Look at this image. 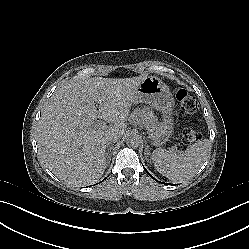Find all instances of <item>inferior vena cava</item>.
Here are the masks:
<instances>
[{"label": "inferior vena cava", "mask_w": 249, "mask_h": 249, "mask_svg": "<svg viewBox=\"0 0 249 249\" xmlns=\"http://www.w3.org/2000/svg\"><path fill=\"white\" fill-rule=\"evenodd\" d=\"M119 138H120V136L118 134H116V133H112V134H109L106 137H104L105 142L107 144L112 142V141H117Z\"/></svg>", "instance_id": "inferior-vena-cava-1"}]
</instances>
